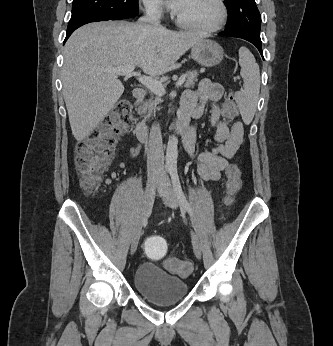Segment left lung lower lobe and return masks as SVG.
<instances>
[{
    "label": "left lung lower lobe",
    "mask_w": 333,
    "mask_h": 346,
    "mask_svg": "<svg viewBox=\"0 0 333 346\" xmlns=\"http://www.w3.org/2000/svg\"><path fill=\"white\" fill-rule=\"evenodd\" d=\"M219 35L230 36V37H237V38L245 39V40L251 42L253 45H255L257 47V49L259 50L260 54L263 57L261 40L248 37L247 35H245L243 33H239V32H236V31H231V30H226V29L224 31L220 32ZM263 59H264V57H263Z\"/></svg>",
    "instance_id": "0a47b994"
}]
</instances>
